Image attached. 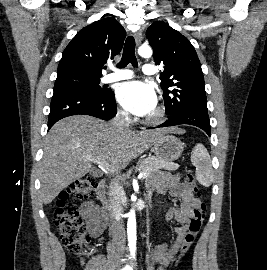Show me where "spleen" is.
Returning a JSON list of instances; mask_svg holds the SVG:
<instances>
[{
	"label": "spleen",
	"mask_w": 267,
	"mask_h": 270,
	"mask_svg": "<svg viewBox=\"0 0 267 270\" xmlns=\"http://www.w3.org/2000/svg\"><path fill=\"white\" fill-rule=\"evenodd\" d=\"M191 162L196 167V179L204 187L213 181L212 161L203 144H196L191 153Z\"/></svg>",
	"instance_id": "obj_1"
}]
</instances>
